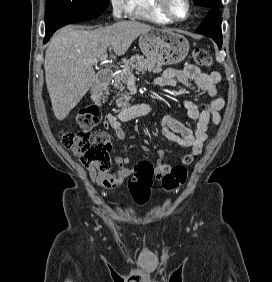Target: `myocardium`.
<instances>
[{"label": "myocardium", "mask_w": 272, "mask_h": 282, "mask_svg": "<svg viewBox=\"0 0 272 282\" xmlns=\"http://www.w3.org/2000/svg\"><path fill=\"white\" fill-rule=\"evenodd\" d=\"M158 1L157 3V7L158 9L170 20L175 21V22H181L184 21L185 19H187L192 11V5H191V1L190 0H184V3L186 5V14L184 17H178L175 16L170 7H169V0H156Z\"/></svg>", "instance_id": "obj_1"}]
</instances>
